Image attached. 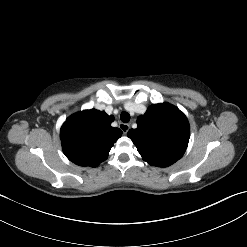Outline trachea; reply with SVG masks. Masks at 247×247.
I'll return each instance as SVG.
<instances>
[{"label":"trachea","mask_w":247,"mask_h":247,"mask_svg":"<svg viewBox=\"0 0 247 247\" xmlns=\"http://www.w3.org/2000/svg\"><path fill=\"white\" fill-rule=\"evenodd\" d=\"M120 119H121L122 122L128 123L130 121V115H129V113H127V112L121 113Z\"/></svg>","instance_id":"1"}]
</instances>
